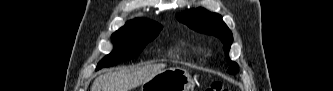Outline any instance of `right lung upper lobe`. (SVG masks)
Wrapping results in <instances>:
<instances>
[{"instance_id": "right-lung-upper-lobe-1", "label": "right lung upper lobe", "mask_w": 333, "mask_h": 91, "mask_svg": "<svg viewBox=\"0 0 333 91\" xmlns=\"http://www.w3.org/2000/svg\"><path fill=\"white\" fill-rule=\"evenodd\" d=\"M133 22H150V20H147V19H135V20L128 21L126 24L133 23Z\"/></svg>"}]
</instances>
